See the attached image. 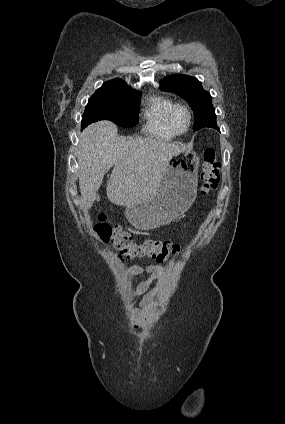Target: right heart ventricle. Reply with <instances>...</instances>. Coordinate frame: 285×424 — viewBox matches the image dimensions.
Here are the masks:
<instances>
[{
  "mask_svg": "<svg viewBox=\"0 0 285 424\" xmlns=\"http://www.w3.org/2000/svg\"><path fill=\"white\" fill-rule=\"evenodd\" d=\"M175 103L166 96L151 97L144 114V130L159 139H173L177 134L170 128L168 116Z\"/></svg>",
  "mask_w": 285,
  "mask_h": 424,
  "instance_id": "obj_1",
  "label": "right heart ventricle"
}]
</instances>
